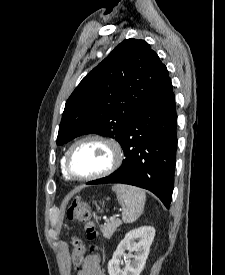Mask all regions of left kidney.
<instances>
[{
    "label": "left kidney",
    "instance_id": "left-kidney-1",
    "mask_svg": "<svg viewBox=\"0 0 225 275\" xmlns=\"http://www.w3.org/2000/svg\"><path fill=\"white\" fill-rule=\"evenodd\" d=\"M154 236L155 229L151 226H143L128 232L108 263L109 275H140L146 264ZM125 250L135 252V255H126L128 260L125 267L120 268L121 258L125 255ZM131 258H133L132 261Z\"/></svg>",
    "mask_w": 225,
    "mask_h": 275
}]
</instances>
